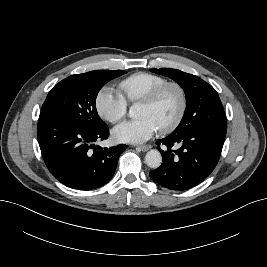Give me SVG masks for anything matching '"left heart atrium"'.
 Returning <instances> with one entry per match:
<instances>
[{"label":"left heart atrium","mask_w":267,"mask_h":267,"mask_svg":"<svg viewBox=\"0 0 267 267\" xmlns=\"http://www.w3.org/2000/svg\"><path fill=\"white\" fill-rule=\"evenodd\" d=\"M158 130L156 124L147 116L124 122L113 130V137L119 142L142 143L150 139Z\"/></svg>","instance_id":"left-heart-atrium-1"}]
</instances>
